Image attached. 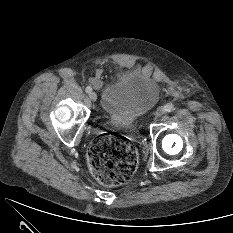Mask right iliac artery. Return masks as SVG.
<instances>
[{"mask_svg":"<svg viewBox=\"0 0 233 233\" xmlns=\"http://www.w3.org/2000/svg\"><path fill=\"white\" fill-rule=\"evenodd\" d=\"M85 91H86L87 93H90V92L92 91V88H91L90 86H88V87H86Z\"/></svg>","mask_w":233,"mask_h":233,"instance_id":"right-iliac-artery-1","label":"right iliac artery"}]
</instances>
